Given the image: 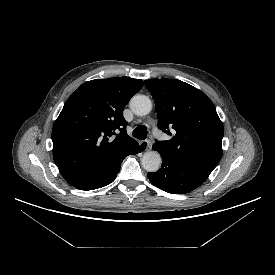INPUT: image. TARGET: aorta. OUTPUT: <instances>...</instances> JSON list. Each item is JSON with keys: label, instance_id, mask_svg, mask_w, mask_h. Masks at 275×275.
<instances>
[{"label": "aorta", "instance_id": "aorta-1", "mask_svg": "<svg viewBox=\"0 0 275 275\" xmlns=\"http://www.w3.org/2000/svg\"><path fill=\"white\" fill-rule=\"evenodd\" d=\"M130 108L136 115H147L152 110V102L145 95H136L130 100ZM141 162L146 171L156 172L161 166L162 159L158 152L149 151L144 153Z\"/></svg>", "mask_w": 275, "mask_h": 275}]
</instances>
